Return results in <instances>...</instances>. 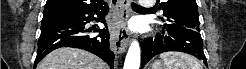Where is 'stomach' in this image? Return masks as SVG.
<instances>
[{"instance_id": "stomach-1", "label": "stomach", "mask_w": 246, "mask_h": 69, "mask_svg": "<svg viewBox=\"0 0 246 69\" xmlns=\"http://www.w3.org/2000/svg\"><path fill=\"white\" fill-rule=\"evenodd\" d=\"M153 69H164L163 68V64L159 61H156L154 64H153Z\"/></svg>"}]
</instances>
